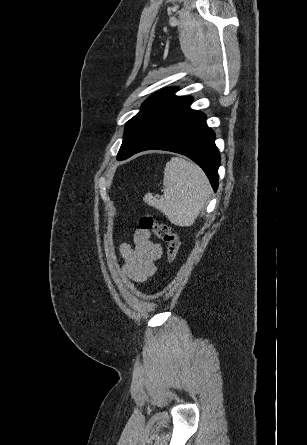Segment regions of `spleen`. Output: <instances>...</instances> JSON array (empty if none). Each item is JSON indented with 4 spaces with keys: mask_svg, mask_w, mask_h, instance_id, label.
Listing matches in <instances>:
<instances>
[{
    "mask_svg": "<svg viewBox=\"0 0 307 445\" xmlns=\"http://www.w3.org/2000/svg\"><path fill=\"white\" fill-rule=\"evenodd\" d=\"M164 194L147 192L144 202L161 210L172 225L191 227L210 192L209 180L202 168L179 156H172L164 168Z\"/></svg>",
    "mask_w": 307,
    "mask_h": 445,
    "instance_id": "1",
    "label": "spleen"
}]
</instances>
